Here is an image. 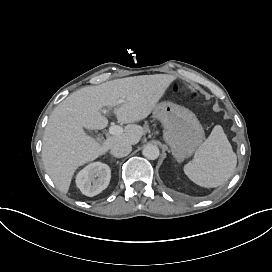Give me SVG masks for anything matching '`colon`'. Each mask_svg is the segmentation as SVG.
<instances>
[{
  "label": "colon",
  "instance_id": "colon-1",
  "mask_svg": "<svg viewBox=\"0 0 272 272\" xmlns=\"http://www.w3.org/2000/svg\"><path fill=\"white\" fill-rule=\"evenodd\" d=\"M177 91L181 92L182 94H186L190 96L191 99L196 100L197 102H202V96L196 91L189 92L188 90H184L180 88H177Z\"/></svg>",
  "mask_w": 272,
  "mask_h": 272
}]
</instances>
